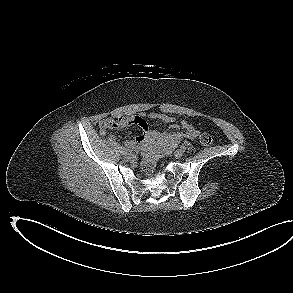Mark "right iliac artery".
Here are the masks:
<instances>
[{"instance_id":"82829eb1","label":"right iliac artery","mask_w":293,"mask_h":293,"mask_svg":"<svg viewBox=\"0 0 293 293\" xmlns=\"http://www.w3.org/2000/svg\"><path fill=\"white\" fill-rule=\"evenodd\" d=\"M119 149H120L121 152H122V151L125 150L126 148L122 145V146H119Z\"/></svg>"}]
</instances>
